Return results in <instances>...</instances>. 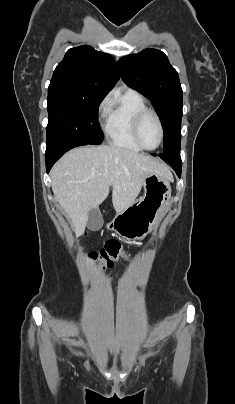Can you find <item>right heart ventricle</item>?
Instances as JSON below:
<instances>
[{"label": "right heart ventricle", "mask_w": 235, "mask_h": 404, "mask_svg": "<svg viewBox=\"0 0 235 404\" xmlns=\"http://www.w3.org/2000/svg\"><path fill=\"white\" fill-rule=\"evenodd\" d=\"M148 109L144 98L134 90H127L110 102L105 115L104 132L116 147L141 151L133 137L132 125L135 116Z\"/></svg>", "instance_id": "right-heart-ventricle-1"}]
</instances>
